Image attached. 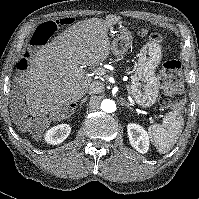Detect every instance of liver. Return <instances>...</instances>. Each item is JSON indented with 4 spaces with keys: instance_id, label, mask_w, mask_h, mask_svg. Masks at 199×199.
<instances>
[{
    "instance_id": "obj_1",
    "label": "liver",
    "mask_w": 199,
    "mask_h": 199,
    "mask_svg": "<svg viewBox=\"0 0 199 199\" xmlns=\"http://www.w3.org/2000/svg\"><path fill=\"white\" fill-rule=\"evenodd\" d=\"M120 19L107 15L104 20L94 17L80 21L36 52L18 81L19 91H13V98H25L27 113L35 119L23 121L21 117L19 125L24 123L28 131L40 125L44 130L46 126L40 120L46 115L54 121L71 116L70 105L83 97L94 82L80 67L94 66L108 56L112 50L108 30Z\"/></svg>"
}]
</instances>
